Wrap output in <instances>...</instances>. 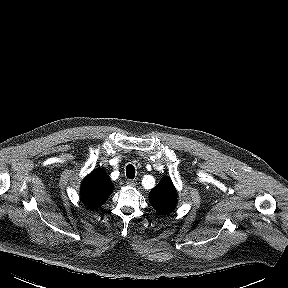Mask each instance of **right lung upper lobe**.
Segmentation results:
<instances>
[{"mask_svg":"<svg viewBox=\"0 0 288 288\" xmlns=\"http://www.w3.org/2000/svg\"><path fill=\"white\" fill-rule=\"evenodd\" d=\"M113 190V185L103 169L92 171L83 180L81 200L91 209L102 205Z\"/></svg>","mask_w":288,"mask_h":288,"instance_id":"cb5924a9","label":"right lung upper lobe"}]
</instances>
